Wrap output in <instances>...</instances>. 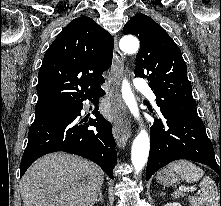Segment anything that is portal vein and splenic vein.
<instances>
[{
    "instance_id": "portal-vein-and-splenic-vein-1",
    "label": "portal vein and splenic vein",
    "mask_w": 221,
    "mask_h": 206,
    "mask_svg": "<svg viewBox=\"0 0 221 206\" xmlns=\"http://www.w3.org/2000/svg\"><path fill=\"white\" fill-rule=\"evenodd\" d=\"M191 191H194L195 189L193 187L190 188ZM199 192V191H198Z\"/></svg>"
}]
</instances>
